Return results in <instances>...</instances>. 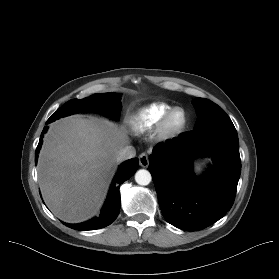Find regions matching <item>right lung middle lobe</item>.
Listing matches in <instances>:
<instances>
[{
  "label": "right lung middle lobe",
  "mask_w": 279,
  "mask_h": 279,
  "mask_svg": "<svg viewBox=\"0 0 279 279\" xmlns=\"http://www.w3.org/2000/svg\"><path fill=\"white\" fill-rule=\"evenodd\" d=\"M120 98L114 93L94 94L82 100L72 99L59 108L47 121L53 122L61 117L77 112L97 111L112 118H118L120 112Z\"/></svg>",
  "instance_id": "obj_1"
}]
</instances>
